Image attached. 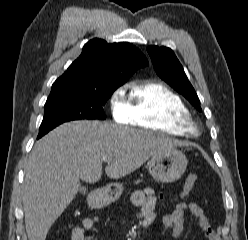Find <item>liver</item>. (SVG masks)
<instances>
[{
  "mask_svg": "<svg viewBox=\"0 0 248 240\" xmlns=\"http://www.w3.org/2000/svg\"><path fill=\"white\" fill-rule=\"evenodd\" d=\"M184 143L129 127L99 121L64 123L36 142L25 167L23 209L29 240H45L52 224L80 189L95 183L102 162L111 179L140 168L150 157Z\"/></svg>",
  "mask_w": 248,
  "mask_h": 240,
  "instance_id": "6515ba94",
  "label": "liver"
}]
</instances>
